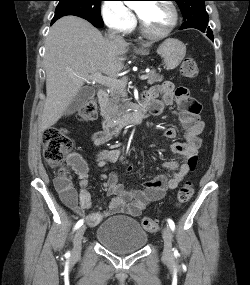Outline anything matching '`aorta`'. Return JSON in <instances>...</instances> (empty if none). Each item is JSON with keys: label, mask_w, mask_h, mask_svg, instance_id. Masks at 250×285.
<instances>
[{"label": "aorta", "mask_w": 250, "mask_h": 285, "mask_svg": "<svg viewBox=\"0 0 250 285\" xmlns=\"http://www.w3.org/2000/svg\"><path fill=\"white\" fill-rule=\"evenodd\" d=\"M125 3L128 5V4H131L132 2L131 1H126Z\"/></svg>", "instance_id": "obj_1"}]
</instances>
